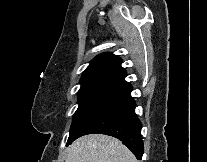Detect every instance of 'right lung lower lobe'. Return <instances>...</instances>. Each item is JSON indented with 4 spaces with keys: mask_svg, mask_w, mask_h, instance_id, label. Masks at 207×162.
I'll use <instances>...</instances> for the list:
<instances>
[{
    "mask_svg": "<svg viewBox=\"0 0 207 162\" xmlns=\"http://www.w3.org/2000/svg\"><path fill=\"white\" fill-rule=\"evenodd\" d=\"M131 91L129 83L116 88L85 118L67 145L86 134H106L121 140L141 160L144 152L142 124L135 114Z\"/></svg>",
    "mask_w": 207,
    "mask_h": 162,
    "instance_id": "right-lung-lower-lobe-1",
    "label": "right lung lower lobe"
}]
</instances>
